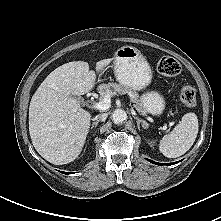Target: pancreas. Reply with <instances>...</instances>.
Segmentation results:
<instances>
[{
	"mask_svg": "<svg viewBox=\"0 0 221 221\" xmlns=\"http://www.w3.org/2000/svg\"><path fill=\"white\" fill-rule=\"evenodd\" d=\"M98 92L101 97L109 95L110 97L115 95L127 94L130 97V101L135 103V107L139 112H145L139 103V95L136 91H133L129 87L123 86L117 83L101 84L98 87Z\"/></svg>",
	"mask_w": 221,
	"mask_h": 221,
	"instance_id": "1",
	"label": "pancreas"
}]
</instances>
